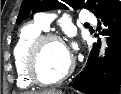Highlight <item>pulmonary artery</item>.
<instances>
[{"label":"pulmonary artery","instance_id":"pulmonary-artery-1","mask_svg":"<svg viewBox=\"0 0 121 94\" xmlns=\"http://www.w3.org/2000/svg\"><path fill=\"white\" fill-rule=\"evenodd\" d=\"M52 17L48 13H40L37 15V22L44 27L45 29L49 28V25L51 23ZM81 20L89 22V23H95V18L93 15L89 13V11H84L81 14Z\"/></svg>","mask_w":121,"mask_h":94}]
</instances>
